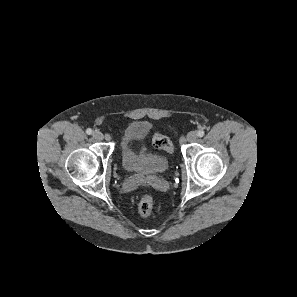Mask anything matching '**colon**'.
Masks as SVG:
<instances>
[{"label":"colon","instance_id":"5ec220e1","mask_svg":"<svg viewBox=\"0 0 297 297\" xmlns=\"http://www.w3.org/2000/svg\"><path fill=\"white\" fill-rule=\"evenodd\" d=\"M152 144L157 149H162L168 153H173L174 147L167 136L162 133H155L152 138ZM153 198L150 194H144L138 204V212L142 217H148L153 210Z\"/></svg>","mask_w":297,"mask_h":297}]
</instances>
